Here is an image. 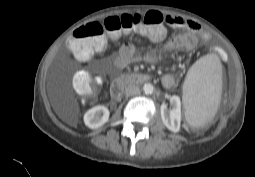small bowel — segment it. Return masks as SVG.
<instances>
[{
    "label": "small bowel",
    "mask_w": 255,
    "mask_h": 177,
    "mask_svg": "<svg viewBox=\"0 0 255 177\" xmlns=\"http://www.w3.org/2000/svg\"><path fill=\"white\" fill-rule=\"evenodd\" d=\"M167 24L173 28L184 29L187 32L177 34L168 39L161 49L157 51L147 52L143 55H139L133 44L126 43L121 46L117 56L114 59V66L116 69H123L132 62L144 61L147 63H155L163 58L164 55L170 54L177 50H191L194 49L200 41H208L207 34L202 33L201 27L194 21L179 17V16H167ZM163 35L154 40H162ZM162 85L170 89L175 85V77L168 73L162 78Z\"/></svg>",
    "instance_id": "obj_1"
}]
</instances>
